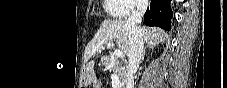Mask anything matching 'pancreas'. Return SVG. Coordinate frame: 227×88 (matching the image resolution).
<instances>
[{
	"mask_svg": "<svg viewBox=\"0 0 227 88\" xmlns=\"http://www.w3.org/2000/svg\"><path fill=\"white\" fill-rule=\"evenodd\" d=\"M108 67L114 73H116L121 81V85L123 86L126 82L127 77V68L123 65L117 58H110L108 62Z\"/></svg>",
	"mask_w": 227,
	"mask_h": 88,
	"instance_id": "cf45deb5",
	"label": "pancreas"
}]
</instances>
